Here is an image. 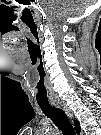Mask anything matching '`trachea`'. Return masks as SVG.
Here are the masks:
<instances>
[{
	"instance_id": "3493384b",
	"label": "trachea",
	"mask_w": 101,
	"mask_h": 135,
	"mask_svg": "<svg viewBox=\"0 0 101 135\" xmlns=\"http://www.w3.org/2000/svg\"><path fill=\"white\" fill-rule=\"evenodd\" d=\"M43 113L49 117L64 135H74L75 131L67 115L61 108H56L48 103H38Z\"/></svg>"
}]
</instances>
